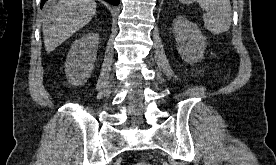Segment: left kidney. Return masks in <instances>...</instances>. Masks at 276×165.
<instances>
[{"label":"left kidney","instance_id":"obj_1","mask_svg":"<svg viewBox=\"0 0 276 165\" xmlns=\"http://www.w3.org/2000/svg\"><path fill=\"white\" fill-rule=\"evenodd\" d=\"M173 31L178 53L185 62L192 64L204 58L206 38L195 23L178 16L174 20Z\"/></svg>","mask_w":276,"mask_h":165}]
</instances>
